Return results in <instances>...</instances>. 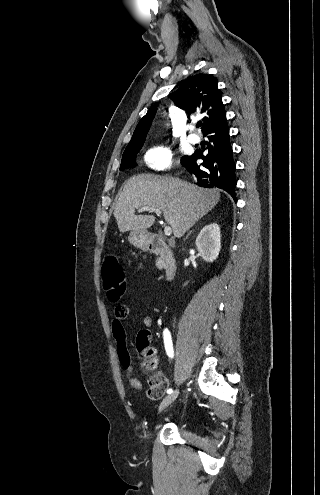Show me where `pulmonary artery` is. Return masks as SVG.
I'll return each mask as SVG.
<instances>
[{"instance_id": "e3ab8cb5", "label": "pulmonary artery", "mask_w": 320, "mask_h": 495, "mask_svg": "<svg viewBox=\"0 0 320 495\" xmlns=\"http://www.w3.org/2000/svg\"><path fill=\"white\" fill-rule=\"evenodd\" d=\"M188 141L192 144H196L200 141V137L197 135V134H190L188 137H187Z\"/></svg>"}]
</instances>
